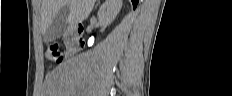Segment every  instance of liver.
<instances>
[{"label":"liver","mask_w":232,"mask_h":96,"mask_svg":"<svg viewBox=\"0 0 232 96\" xmlns=\"http://www.w3.org/2000/svg\"><path fill=\"white\" fill-rule=\"evenodd\" d=\"M96 0H41V29L46 34L60 9L68 5L67 23L77 25L84 21L93 9Z\"/></svg>","instance_id":"liver-1"}]
</instances>
